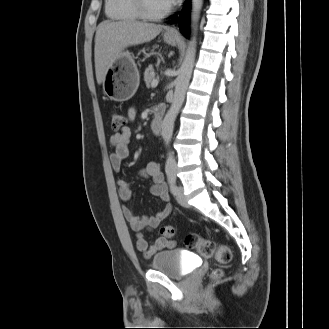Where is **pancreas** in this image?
Segmentation results:
<instances>
[{"instance_id":"1","label":"pancreas","mask_w":329,"mask_h":329,"mask_svg":"<svg viewBox=\"0 0 329 329\" xmlns=\"http://www.w3.org/2000/svg\"><path fill=\"white\" fill-rule=\"evenodd\" d=\"M153 79H154V69L153 66L150 65L148 68H146L144 72V81L147 87H150V84Z\"/></svg>"}]
</instances>
